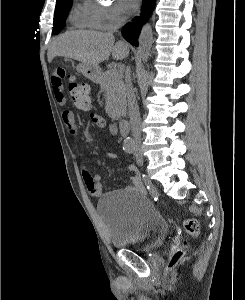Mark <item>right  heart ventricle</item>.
Here are the masks:
<instances>
[{"label":"right heart ventricle","instance_id":"e07e8e85","mask_svg":"<svg viewBox=\"0 0 245 300\" xmlns=\"http://www.w3.org/2000/svg\"><path fill=\"white\" fill-rule=\"evenodd\" d=\"M70 21L75 27L78 28L97 27L94 15L87 2H84L83 4H77L75 6L71 14Z\"/></svg>","mask_w":245,"mask_h":300}]
</instances>
